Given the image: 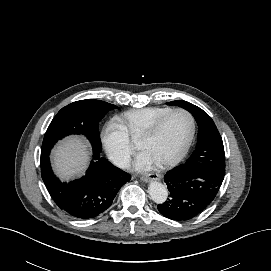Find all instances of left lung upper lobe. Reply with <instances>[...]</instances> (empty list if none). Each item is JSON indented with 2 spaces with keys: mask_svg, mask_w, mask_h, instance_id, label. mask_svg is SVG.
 Here are the masks:
<instances>
[{
  "mask_svg": "<svg viewBox=\"0 0 271 271\" xmlns=\"http://www.w3.org/2000/svg\"><path fill=\"white\" fill-rule=\"evenodd\" d=\"M169 104L188 110L198 124L196 149L184 165L225 174L224 146L212 118L201 108L183 100L171 101Z\"/></svg>",
  "mask_w": 271,
  "mask_h": 271,
  "instance_id": "left-lung-upper-lobe-1",
  "label": "left lung upper lobe"
}]
</instances>
